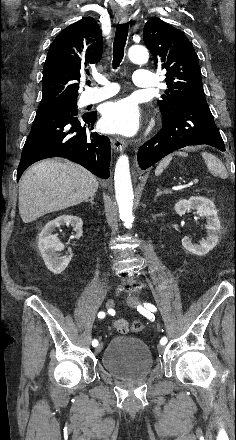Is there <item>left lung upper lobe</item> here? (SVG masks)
I'll return each instance as SVG.
<instances>
[{"label":"left lung upper lobe","instance_id":"1","mask_svg":"<svg viewBox=\"0 0 236 440\" xmlns=\"http://www.w3.org/2000/svg\"><path fill=\"white\" fill-rule=\"evenodd\" d=\"M143 38L155 68L166 70L168 89L158 100L163 118L170 117L184 101L205 97L197 54L180 30L152 17L144 26Z\"/></svg>","mask_w":236,"mask_h":440}]
</instances>
